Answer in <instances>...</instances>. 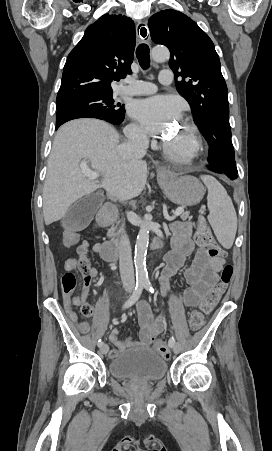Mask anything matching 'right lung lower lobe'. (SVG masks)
I'll use <instances>...</instances> for the list:
<instances>
[{"label": "right lung lower lobe", "mask_w": 272, "mask_h": 451, "mask_svg": "<svg viewBox=\"0 0 272 451\" xmlns=\"http://www.w3.org/2000/svg\"><path fill=\"white\" fill-rule=\"evenodd\" d=\"M78 118H98V117H92V116H75V117H71V118L66 119V120H64V121H62V122L56 123V129H57L60 125H62L63 123H65V122H67V121H69V120L78 119ZM98 119L105 120V119H103V118H98ZM105 121H107V120H105ZM122 121H123V120H122ZM122 121H121V122H122ZM107 122H109V121H107ZM121 122H119V123H112V124L118 125V124H120ZM110 123H111V122H110Z\"/></svg>", "instance_id": "obj_1"}]
</instances>
